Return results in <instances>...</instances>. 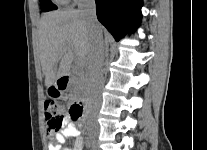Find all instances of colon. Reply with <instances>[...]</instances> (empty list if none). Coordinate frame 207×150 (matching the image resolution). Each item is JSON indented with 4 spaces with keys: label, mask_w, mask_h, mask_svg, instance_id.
<instances>
[{
    "label": "colon",
    "mask_w": 207,
    "mask_h": 150,
    "mask_svg": "<svg viewBox=\"0 0 207 150\" xmlns=\"http://www.w3.org/2000/svg\"><path fill=\"white\" fill-rule=\"evenodd\" d=\"M66 113L67 106L65 103L55 99H49L46 101L45 120L49 132H56L62 128ZM71 115L74 119L81 118L80 113L74 106L72 108Z\"/></svg>",
    "instance_id": "obj_1"
}]
</instances>
